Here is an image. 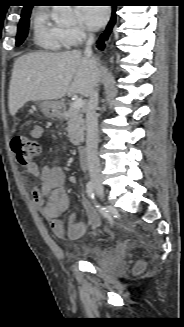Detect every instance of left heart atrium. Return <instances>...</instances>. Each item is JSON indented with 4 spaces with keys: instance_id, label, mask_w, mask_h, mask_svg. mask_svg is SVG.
Here are the masks:
<instances>
[{
    "instance_id": "left-heart-atrium-1",
    "label": "left heart atrium",
    "mask_w": 184,
    "mask_h": 327,
    "mask_svg": "<svg viewBox=\"0 0 184 327\" xmlns=\"http://www.w3.org/2000/svg\"><path fill=\"white\" fill-rule=\"evenodd\" d=\"M109 10L106 7L86 5L79 9L81 22L90 30H97L107 21Z\"/></svg>"
}]
</instances>
